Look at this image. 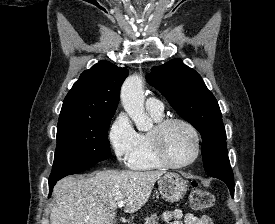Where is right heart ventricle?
Listing matches in <instances>:
<instances>
[{
	"label": "right heart ventricle",
	"mask_w": 275,
	"mask_h": 224,
	"mask_svg": "<svg viewBox=\"0 0 275 224\" xmlns=\"http://www.w3.org/2000/svg\"><path fill=\"white\" fill-rule=\"evenodd\" d=\"M149 114L155 122L163 119V112L156 113L149 111ZM148 134L149 133L144 132L137 133L136 147L127 161L128 166L132 169L155 170L163 167L153 156L149 145Z\"/></svg>",
	"instance_id": "1"
}]
</instances>
